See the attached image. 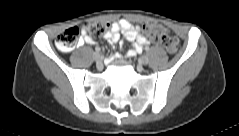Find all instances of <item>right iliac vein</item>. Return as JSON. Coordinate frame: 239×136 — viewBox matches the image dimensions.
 <instances>
[{
  "mask_svg": "<svg viewBox=\"0 0 239 136\" xmlns=\"http://www.w3.org/2000/svg\"><path fill=\"white\" fill-rule=\"evenodd\" d=\"M93 57L97 63V67H101L102 66V55L100 53L96 52V53H94Z\"/></svg>",
  "mask_w": 239,
  "mask_h": 136,
  "instance_id": "right-iliac-vein-1",
  "label": "right iliac vein"
}]
</instances>
